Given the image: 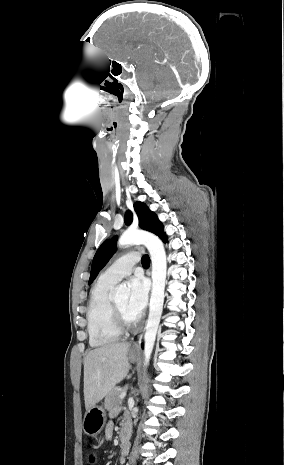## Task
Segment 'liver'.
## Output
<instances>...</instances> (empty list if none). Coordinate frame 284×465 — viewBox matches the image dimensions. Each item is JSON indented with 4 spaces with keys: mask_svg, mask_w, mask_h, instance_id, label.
Masks as SVG:
<instances>
[{
    "mask_svg": "<svg viewBox=\"0 0 284 465\" xmlns=\"http://www.w3.org/2000/svg\"><path fill=\"white\" fill-rule=\"evenodd\" d=\"M130 343H107L84 357V401L89 411L127 377Z\"/></svg>",
    "mask_w": 284,
    "mask_h": 465,
    "instance_id": "obj_1",
    "label": "liver"
}]
</instances>
